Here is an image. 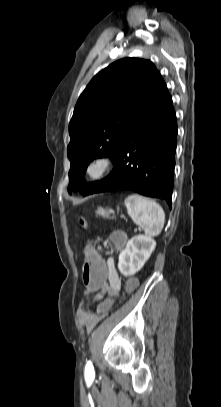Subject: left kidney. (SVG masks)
<instances>
[{
	"label": "left kidney",
	"mask_w": 221,
	"mask_h": 407,
	"mask_svg": "<svg viewBox=\"0 0 221 407\" xmlns=\"http://www.w3.org/2000/svg\"><path fill=\"white\" fill-rule=\"evenodd\" d=\"M156 247L153 238L146 235L132 237L119 255L118 269L124 276L136 274L144 266Z\"/></svg>",
	"instance_id": "5707ae66"
}]
</instances>
